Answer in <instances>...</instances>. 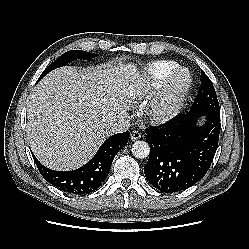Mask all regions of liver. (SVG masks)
<instances>
[{
  "mask_svg": "<svg viewBox=\"0 0 249 249\" xmlns=\"http://www.w3.org/2000/svg\"><path fill=\"white\" fill-rule=\"evenodd\" d=\"M145 94L144 78L132 64L56 69L38 83L28 102L30 147L50 169H76L112 134L110 125Z\"/></svg>",
  "mask_w": 249,
  "mask_h": 249,
  "instance_id": "obj_1",
  "label": "liver"
}]
</instances>
